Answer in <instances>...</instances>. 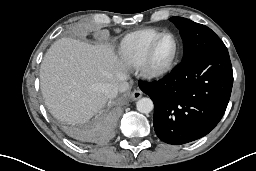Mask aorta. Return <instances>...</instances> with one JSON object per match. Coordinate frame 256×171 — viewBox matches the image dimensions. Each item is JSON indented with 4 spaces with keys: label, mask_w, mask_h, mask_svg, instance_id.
Segmentation results:
<instances>
[{
    "label": "aorta",
    "mask_w": 256,
    "mask_h": 171,
    "mask_svg": "<svg viewBox=\"0 0 256 171\" xmlns=\"http://www.w3.org/2000/svg\"><path fill=\"white\" fill-rule=\"evenodd\" d=\"M136 107L139 112L147 114L153 110L154 105L150 98L144 97L137 101Z\"/></svg>",
    "instance_id": "aorta-1"
}]
</instances>
